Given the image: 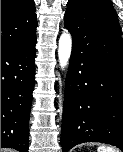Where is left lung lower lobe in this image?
<instances>
[{
    "label": "left lung lower lobe",
    "instance_id": "obj_1",
    "mask_svg": "<svg viewBox=\"0 0 123 152\" xmlns=\"http://www.w3.org/2000/svg\"><path fill=\"white\" fill-rule=\"evenodd\" d=\"M73 37L66 77L62 151L101 142L123 151V40L119 33L82 11H68Z\"/></svg>",
    "mask_w": 123,
    "mask_h": 152
}]
</instances>
